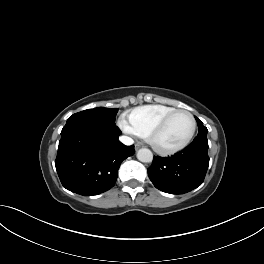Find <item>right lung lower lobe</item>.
Returning <instances> with one entry per match:
<instances>
[{
  "label": "right lung lower lobe",
  "instance_id": "98d812e1",
  "mask_svg": "<svg viewBox=\"0 0 264 264\" xmlns=\"http://www.w3.org/2000/svg\"><path fill=\"white\" fill-rule=\"evenodd\" d=\"M120 129L89 121L68 122L61 131L56 170L69 191L92 196L111 189L121 162L135 153L119 140Z\"/></svg>",
  "mask_w": 264,
  "mask_h": 264
}]
</instances>
